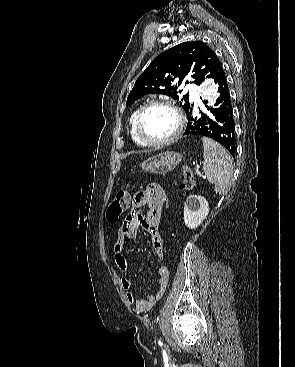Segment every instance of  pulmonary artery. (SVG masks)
Wrapping results in <instances>:
<instances>
[{
	"instance_id": "obj_1",
	"label": "pulmonary artery",
	"mask_w": 295,
	"mask_h": 367,
	"mask_svg": "<svg viewBox=\"0 0 295 367\" xmlns=\"http://www.w3.org/2000/svg\"><path fill=\"white\" fill-rule=\"evenodd\" d=\"M187 88L190 90V93H191V96L194 98V99H197V94H196V91L194 90L193 86L192 85H187Z\"/></svg>"
}]
</instances>
